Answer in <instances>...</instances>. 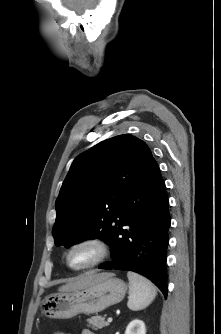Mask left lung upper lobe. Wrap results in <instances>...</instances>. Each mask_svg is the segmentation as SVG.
<instances>
[{"label": "left lung upper lobe", "mask_w": 221, "mask_h": 334, "mask_svg": "<svg viewBox=\"0 0 221 334\" xmlns=\"http://www.w3.org/2000/svg\"><path fill=\"white\" fill-rule=\"evenodd\" d=\"M155 159L130 134L104 140L73 161L56 200V246L89 238L109 244L122 203Z\"/></svg>", "instance_id": "left-lung-upper-lobe-1"}]
</instances>
